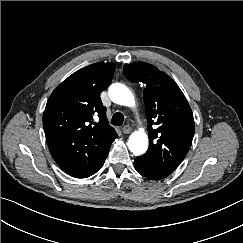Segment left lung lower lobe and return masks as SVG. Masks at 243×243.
Returning <instances> with one entry per match:
<instances>
[{"label":"left lung lower lobe","mask_w":243,"mask_h":243,"mask_svg":"<svg viewBox=\"0 0 243 243\" xmlns=\"http://www.w3.org/2000/svg\"><path fill=\"white\" fill-rule=\"evenodd\" d=\"M134 166L136 171L151 180H160L166 178L170 175V172L164 171L154 165L143 162L142 160L136 158L134 161Z\"/></svg>","instance_id":"0a47b994"}]
</instances>
